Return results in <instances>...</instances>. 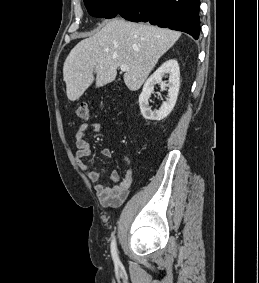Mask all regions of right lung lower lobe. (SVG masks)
I'll list each match as a JSON object with an SVG mask.
<instances>
[{
    "label": "right lung lower lobe",
    "instance_id": "obj_1",
    "mask_svg": "<svg viewBox=\"0 0 259 283\" xmlns=\"http://www.w3.org/2000/svg\"><path fill=\"white\" fill-rule=\"evenodd\" d=\"M114 8V17L183 31L196 40L200 34V0H116Z\"/></svg>",
    "mask_w": 259,
    "mask_h": 283
}]
</instances>
